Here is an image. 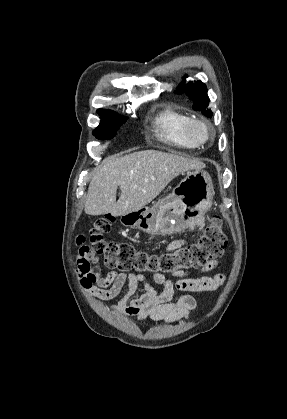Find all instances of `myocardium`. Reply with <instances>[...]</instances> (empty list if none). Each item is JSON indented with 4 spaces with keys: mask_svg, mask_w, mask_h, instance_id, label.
<instances>
[{
    "mask_svg": "<svg viewBox=\"0 0 287 419\" xmlns=\"http://www.w3.org/2000/svg\"><path fill=\"white\" fill-rule=\"evenodd\" d=\"M195 127H201L205 132V136L202 138H197L193 133V129ZM185 134L189 141L196 146L203 145L212 138V130L209 124L204 120L198 118H189L187 120L185 124Z\"/></svg>",
    "mask_w": 287,
    "mask_h": 419,
    "instance_id": "obj_1",
    "label": "myocardium"
}]
</instances>
